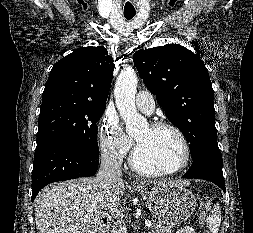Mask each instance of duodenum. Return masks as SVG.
<instances>
[{
    "mask_svg": "<svg viewBox=\"0 0 253 233\" xmlns=\"http://www.w3.org/2000/svg\"><path fill=\"white\" fill-rule=\"evenodd\" d=\"M111 223V217L109 215H104L100 218V222L96 227L94 233H105Z\"/></svg>",
    "mask_w": 253,
    "mask_h": 233,
    "instance_id": "1",
    "label": "duodenum"
}]
</instances>
